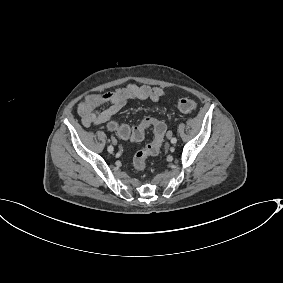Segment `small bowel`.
I'll return each instance as SVG.
<instances>
[{
  "label": "small bowel",
  "instance_id": "obj_1",
  "mask_svg": "<svg viewBox=\"0 0 283 283\" xmlns=\"http://www.w3.org/2000/svg\"><path fill=\"white\" fill-rule=\"evenodd\" d=\"M164 92L159 87L129 83L113 91L87 95L78 105V114L85 127L109 123L130 100L159 101ZM103 106H106L102 108Z\"/></svg>",
  "mask_w": 283,
  "mask_h": 283
}]
</instances>
